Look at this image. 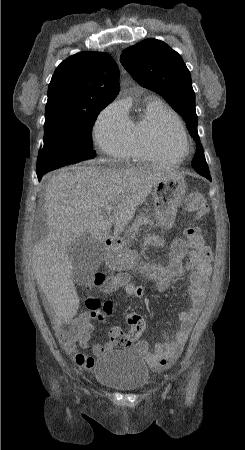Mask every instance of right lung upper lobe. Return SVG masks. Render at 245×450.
<instances>
[{
    "label": "right lung upper lobe",
    "mask_w": 245,
    "mask_h": 450,
    "mask_svg": "<svg viewBox=\"0 0 245 450\" xmlns=\"http://www.w3.org/2000/svg\"><path fill=\"white\" fill-rule=\"evenodd\" d=\"M119 68L105 52H80L56 68L48 87L46 111H89L109 104L119 91Z\"/></svg>",
    "instance_id": "obj_1"
}]
</instances>
